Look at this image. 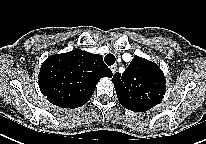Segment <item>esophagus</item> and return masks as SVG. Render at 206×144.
I'll use <instances>...</instances> for the list:
<instances>
[{"instance_id":"obj_1","label":"esophagus","mask_w":206,"mask_h":144,"mask_svg":"<svg viewBox=\"0 0 206 144\" xmlns=\"http://www.w3.org/2000/svg\"><path fill=\"white\" fill-rule=\"evenodd\" d=\"M110 69H111L112 73L115 74V72H116V70H117V65H116V64L112 65V66L110 67Z\"/></svg>"}]
</instances>
